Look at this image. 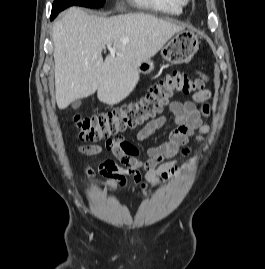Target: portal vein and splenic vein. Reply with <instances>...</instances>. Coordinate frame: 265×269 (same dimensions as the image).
Segmentation results:
<instances>
[{
    "label": "portal vein and splenic vein",
    "mask_w": 265,
    "mask_h": 269,
    "mask_svg": "<svg viewBox=\"0 0 265 269\" xmlns=\"http://www.w3.org/2000/svg\"><path fill=\"white\" fill-rule=\"evenodd\" d=\"M107 48L109 49L111 54H115V49L113 47H111V45H107Z\"/></svg>",
    "instance_id": "obj_1"
}]
</instances>
